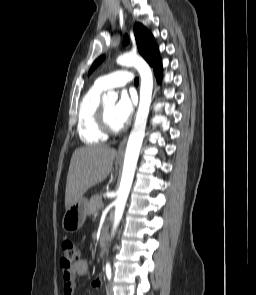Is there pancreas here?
I'll return each instance as SVG.
<instances>
[{
  "instance_id": "1",
  "label": "pancreas",
  "mask_w": 256,
  "mask_h": 295,
  "mask_svg": "<svg viewBox=\"0 0 256 295\" xmlns=\"http://www.w3.org/2000/svg\"><path fill=\"white\" fill-rule=\"evenodd\" d=\"M101 208H103L102 198L98 194H95L91 197L88 203L87 212L88 214H94L97 210Z\"/></svg>"
}]
</instances>
